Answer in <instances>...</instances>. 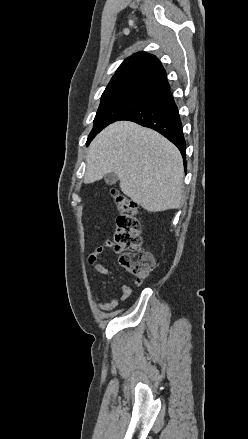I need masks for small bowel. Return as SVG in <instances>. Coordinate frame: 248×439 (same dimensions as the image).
I'll use <instances>...</instances> for the list:
<instances>
[{
    "label": "small bowel",
    "instance_id": "1",
    "mask_svg": "<svg viewBox=\"0 0 248 439\" xmlns=\"http://www.w3.org/2000/svg\"><path fill=\"white\" fill-rule=\"evenodd\" d=\"M111 246L112 245L109 242L104 243L102 246L93 251L88 257V264L90 266L89 283L94 288L97 306L102 311H111L115 309L121 303L126 301L132 293V289L129 286H123L120 289L119 294L115 298L111 300H104L100 292L96 288V282L98 278L100 276H105L109 273V269L101 263L100 255L104 250L111 248Z\"/></svg>",
    "mask_w": 248,
    "mask_h": 439
}]
</instances>
